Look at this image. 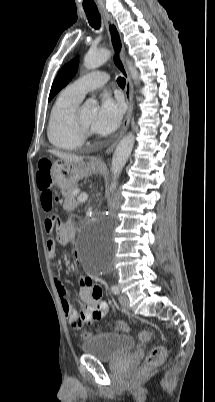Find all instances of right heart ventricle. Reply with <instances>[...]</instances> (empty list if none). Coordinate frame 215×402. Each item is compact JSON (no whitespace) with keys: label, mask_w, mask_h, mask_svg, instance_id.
Segmentation results:
<instances>
[{"label":"right heart ventricle","mask_w":215,"mask_h":402,"mask_svg":"<svg viewBox=\"0 0 215 402\" xmlns=\"http://www.w3.org/2000/svg\"><path fill=\"white\" fill-rule=\"evenodd\" d=\"M82 97L68 88L56 97L50 111L47 136L50 143L62 150H75L81 147L84 138L78 133L74 124V113Z\"/></svg>","instance_id":"e07e8e85"}]
</instances>
